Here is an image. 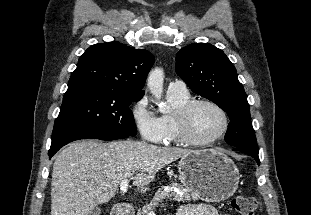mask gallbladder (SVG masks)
I'll use <instances>...</instances> for the list:
<instances>
[{"instance_id": "obj_1", "label": "gallbladder", "mask_w": 311, "mask_h": 215, "mask_svg": "<svg viewBox=\"0 0 311 215\" xmlns=\"http://www.w3.org/2000/svg\"><path fill=\"white\" fill-rule=\"evenodd\" d=\"M101 209L99 207H94L93 210L89 213V215H100Z\"/></svg>"}]
</instances>
